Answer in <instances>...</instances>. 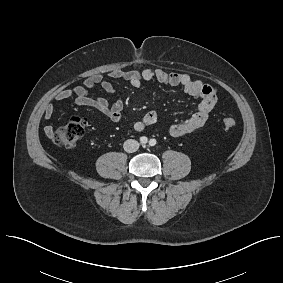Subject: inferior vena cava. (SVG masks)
<instances>
[{
    "instance_id": "1",
    "label": "inferior vena cava",
    "mask_w": 283,
    "mask_h": 283,
    "mask_svg": "<svg viewBox=\"0 0 283 283\" xmlns=\"http://www.w3.org/2000/svg\"><path fill=\"white\" fill-rule=\"evenodd\" d=\"M123 148L128 153L136 152L139 148V143L134 139H128L124 142Z\"/></svg>"
}]
</instances>
